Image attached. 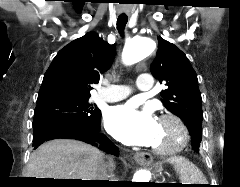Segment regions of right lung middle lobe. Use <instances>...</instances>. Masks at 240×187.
<instances>
[{"label":"right lung middle lobe","mask_w":240,"mask_h":187,"mask_svg":"<svg viewBox=\"0 0 240 187\" xmlns=\"http://www.w3.org/2000/svg\"><path fill=\"white\" fill-rule=\"evenodd\" d=\"M88 98L58 99L37 105L33 125L59 118L75 124H88L98 118L100 110L88 102Z\"/></svg>","instance_id":"dd1d6c3e"}]
</instances>
